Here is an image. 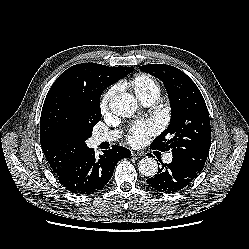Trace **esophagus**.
<instances>
[{
	"instance_id": "34e87169",
	"label": "esophagus",
	"mask_w": 249,
	"mask_h": 249,
	"mask_svg": "<svg viewBox=\"0 0 249 249\" xmlns=\"http://www.w3.org/2000/svg\"><path fill=\"white\" fill-rule=\"evenodd\" d=\"M132 153V156H143L144 155V153L143 152H139V151H132L131 152Z\"/></svg>"
}]
</instances>
